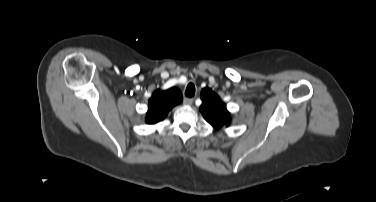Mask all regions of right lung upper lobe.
<instances>
[{"mask_svg": "<svg viewBox=\"0 0 376 202\" xmlns=\"http://www.w3.org/2000/svg\"><path fill=\"white\" fill-rule=\"evenodd\" d=\"M183 100L181 91L176 88H170L162 91L156 90L148 102V111L146 113V122L156 124L162 121L168 112Z\"/></svg>", "mask_w": 376, "mask_h": 202, "instance_id": "right-lung-upper-lobe-1", "label": "right lung upper lobe"}]
</instances>
